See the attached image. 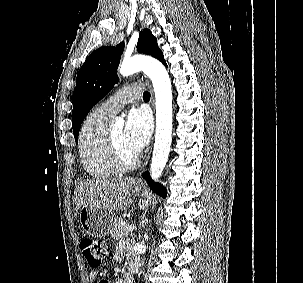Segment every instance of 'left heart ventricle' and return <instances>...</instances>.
I'll return each mask as SVG.
<instances>
[{
    "mask_svg": "<svg viewBox=\"0 0 303 283\" xmlns=\"http://www.w3.org/2000/svg\"><path fill=\"white\" fill-rule=\"evenodd\" d=\"M113 138L120 149L121 154L126 160H130L134 157V153L127 147L124 140V128L122 126L113 127L110 129Z\"/></svg>",
    "mask_w": 303,
    "mask_h": 283,
    "instance_id": "left-heart-ventricle-1",
    "label": "left heart ventricle"
}]
</instances>
